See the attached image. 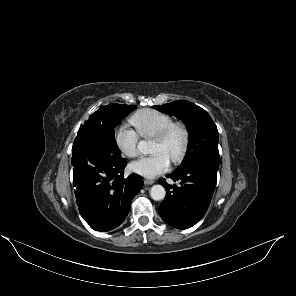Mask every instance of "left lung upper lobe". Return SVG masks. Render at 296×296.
I'll return each instance as SVG.
<instances>
[{
    "label": "left lung upper lobe",
    "instance_id": "left-lung-upper-lobe-1",
    "mask_svg": "<svg viewBox=\"0 0 296 296\" xmlns=\"http://www.w3.org/2000/svg\"><path fill=\"white\" fill-rule=\"evenodd\" d=\"M155 109L174 114L181 118L189 131V144L186 156L176 170L209 158H219L216 125L209 114L201 107L185 100H178Z\"/></svg>",
    "mask_w": 296,
    "mask_h": 296
}]
</instances>
